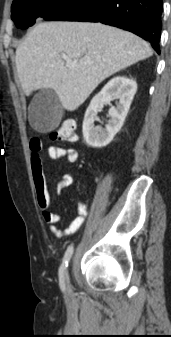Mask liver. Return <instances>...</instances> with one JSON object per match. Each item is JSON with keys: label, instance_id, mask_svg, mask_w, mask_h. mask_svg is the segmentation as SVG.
Returning a JSON list of instances; mask_svg holds the SVG:
<instances>
[{"label": "liver", "instance_id": "1", "mask_svg": "<svg viewBox=\"0 0 171 337\" xmlns=\"http://www.w3.org/2000/svg\"><path fill=\"white\" fill-rule=\"evenodd\" d=\"M137 35L101 23L42 22L16 49L25 95L52 89L61 105L76 110L107 77L152 56ZM65 57L75 63L66 66Z\"/></svg>", "mask_w": 171, "mask_h": 337}]
</instances>
